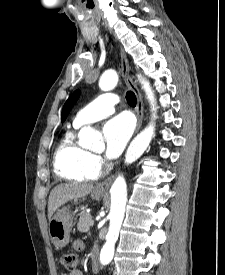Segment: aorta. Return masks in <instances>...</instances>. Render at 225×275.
I'll return each mask as SVG.
<instances>
[{
  "label": "aorta",
  "mask_w": 225,
  "mask_h": 275,
  "mask_svg": "<svg viewBox=\"0 0 225 275\" xmlns=\"http://www.w3.org/2000/svg\"><path fill=\"white\" fill-rule=\"evenodd\" d=\"M138 80L144 89L146 96L149 100L151 110L153 111V116L156 113V102L154 93L150 87L149 82L138 75ZM118 83V75L114 70H107L104 72L99 80V87L103 91H110ZM155 124L151 122L142 132H140L134 140L131 142L126 155L125 163L131 164L135 162L147 149L149 146L153 134H154ZM80 145L85 148H90L92 150L98 148L103 144L102 136L96 132L92 127H83L79 134ZM111 193V207L109 213V229L106 235V242L100 253V263L102 265H107L111 262L115 243L119 236V231L124 219L125 207L127 202V185L123 176H118L114 181L110 189Z\"/></svg>",
  "instance_id": "aorta-1"
}]
</instances>
